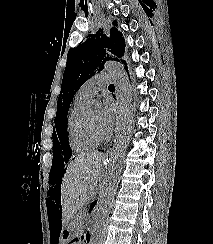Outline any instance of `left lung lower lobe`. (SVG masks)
<instances>
[{"label":"left lung lower lobe","mask_w":213,"mask_h":244,"mask_svg":"<svg viewBox=\"0 0 213 244\" xmlns=\"http://www.w3.org/2000/svg\"><path fill=\"white\" fill-rule=\"evenodd\" d=\"M95 203H96V201H95L94 203L91 204V207H92V208L94 207Z\"/></svg>","instance_id":"left-lung-lower-lobe-1"}]
</instances>
